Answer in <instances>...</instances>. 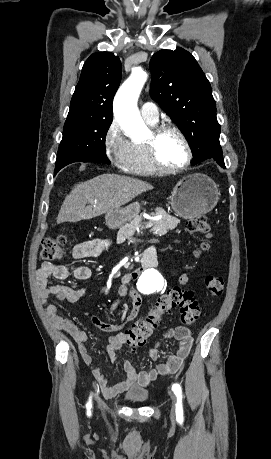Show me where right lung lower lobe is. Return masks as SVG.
Listing matches in <instances>:
<instances>
[{
  "label": "right lung lower lobe",
  "instance_id": "1",
  "mask_svg": "<svg viewBox=\"0 0 271 459\" xmlns=\"http://www.w3.org/2000/svg\"><path fill=\"white\" fill-rule=\"evenodd\" d=\"M73 162H95V161L90 160V159H79L78 161L72 160V161L65 162V163H63V164H61V165H57V166L55 167V173H54V175H56V173H57L61 168H63L64 166H66V165H68V164H70V163H73Z\"/></svg>",
  "mask_w": 271,
  "mask_h": 459
}]
</instances>
